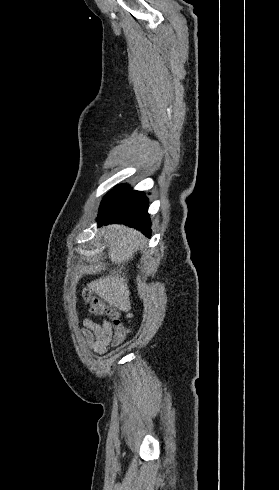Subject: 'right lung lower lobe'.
Returning a JSON list of instances; mask_svg holds the SVG:
<instances>
[{
	"instance_id": "obj_1",
	"label": "right lung lower lobe",
	"mask_w": 279,
	"mask_h": 490,
	"mask_svg": "<svg viewBox=\"0 0 279 490\" xmlns=\"http://www.w3.org/2000/svg\"><path fill=\"white\" fill-rule=\"evenodd\" d=\"M148 199L143 192L127 190L118 195L110 204L107 212L98 218L99 226L125 224L150 236Z\"/></svg>"
}]
</instances>
